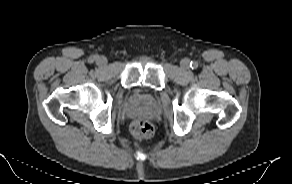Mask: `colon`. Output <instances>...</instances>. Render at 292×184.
<instances>
[{
  "label": "colon",
  "instance_id": "obj_1",
  "mask_svg": "<svg viewBox=\"0 0 292 184\" xmlns=\"http://www.w3.org/2000/svg\"><path fill=\"white\" fill-rule=\"evenodd\" d=\"M131 133L136 138H149L154 134L153 125L145 120H135L130 127Z\"/></svg>",
  "mask_w": 292,
  "mask_h": 184
}]
</instances>
